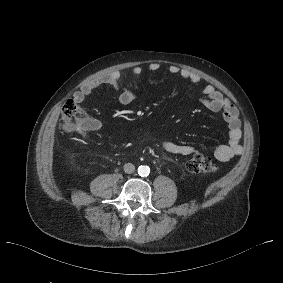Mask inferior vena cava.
Segmentation results:
<instances>
[{"label": "inferior vena cava", "instance_id": "obj_1", "mask_svg": "<svg viewBox=\"0 0 283 283\" xmlns=\"http://www.w3.org/2000/svg\"><path fill=\"white\" fill-rule=\"evenodd\" d=\"M124 171L126 173H133L135 171V166L132 163H127L124 165Z\"/></svg>", "mask_w": 283, "mask_h": 283}]
</instances>
